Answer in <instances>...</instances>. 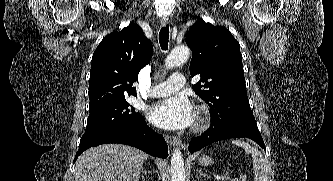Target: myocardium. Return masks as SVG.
I'll list each match as a JSON object with an SVG mask.
<instances>
[{"label":"myocardium","mask_w":333,"mask_h":181,"mask_svg":"<svg viewBox=\"0 0 333 181\" xmlns=\"http://www.w3.org/2000/svg\"><path fill=\"white\" fill-rule=\"evenodd\" d=\"M210 109L206 105L196 107V121L193 126L194 131L204 130L210 123Z\"/></svg>","instance_id":"myocardium-1"}]
</instances>
